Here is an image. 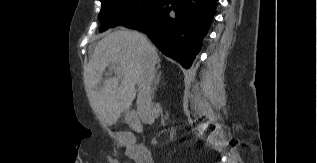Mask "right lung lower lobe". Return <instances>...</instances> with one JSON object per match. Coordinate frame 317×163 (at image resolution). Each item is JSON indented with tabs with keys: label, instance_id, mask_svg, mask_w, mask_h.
<instances>
[{
	"label": "right lung lower lobe",
	"instance_id": "obj_1",
	"mask_svg": "<svg viewBox=\"0 0 317 163\" xmlns=\"http://www.w3.org/2000/svg\"><path fill=\"white\" fill-rule=\"evenodd\" d=\"M217 0H164L125 27L144 32L166 56L189 68L209 29Z\"/></svg>",
	"mask_w": 317,
	"mask_h": 163
}]
</instances>
